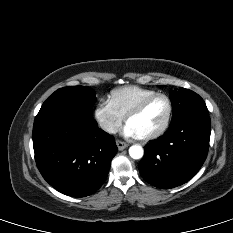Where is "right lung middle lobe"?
I'll return each instance as SVG.
<instances>
[{
  "label": "right lung middle lobe",
  "mask_w": 233,
  "mask_h": 233,
  "mask_svg": "<svg viewBox=\"0 0 233 233\" xmlns=\"http://www.w3.org/2000/svg\"><path fill=\"white\" fill-rule=\"evenodd\" d=\"M96 92L85 86L64 87L56 90L41 106L39 113L53 109H66L92 116Z\"/></svg>",
  "instance_id": "obj_1"
}]
</instances>
